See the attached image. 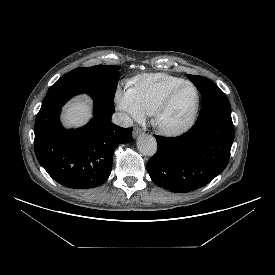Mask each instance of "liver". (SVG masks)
<instances>
[{"label":"liver","instance_id":"obj_1","mask_svg":"<svg viewBox=\"0 0 275 275\" xmlns=\"http://www.w3.org/2000/svg\"><path fill=\"white\" fill-rule=\"evenodd\" d=\"M91 117V106L88 100L79 98L68 104L62 119L68 127H79L87 123Z\"/></svg>","mask_w":275,"mask_h":275}]
</instances>
